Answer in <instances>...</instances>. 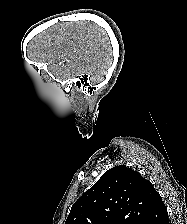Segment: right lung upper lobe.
Instances as JSON below:
<instances>
[{
    "mask_svg": "<svg viewBox=\"0 0 187 224\" xmlns=\"http://www.w3.org/2000/svg\"><path fill=\"white\" fill-rule=\"evenodd\" d=\"M166 214L151 182L120 165L106 171L73 204L65 224H157Z\"/></svg>",
    "mask_w": 187,
    "mask_h": 224,
    "instance_id": "cb5924a9",
    "label": "right lung upper lobe"
}]
</instances>
